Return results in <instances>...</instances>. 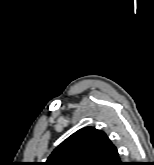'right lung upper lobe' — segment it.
I'll list each match as a JSON object with an SVG mask.
<instances>
[{
    "label": "right lung upper lobe",
    "mask_w": 154,
    "mask_h": 165,
    "mask_svg": "<svg viewBox=\"0 0 154 165\" xmlns=\"http://www.w3.org/2000/svg\"><path fill=\"white\" fill-rule=\"evenodd\" d=\"M117 158L118 151L104 132L85 127L64 140L45 165H113Z\"/></svg>",
    "instance_id": "right-lung-upper-lobe-1"
}]
</instances>
